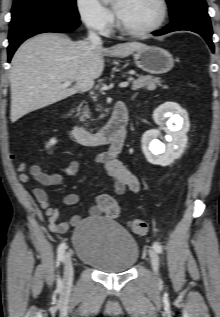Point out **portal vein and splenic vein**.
Returning <instances> with one entry per match:
<instances>
[{
    "label": "portal vein and splenic vein",
    "instance_id": "18ae733b",
    "mask_svg": "<svg viewBox=\"0 0 220 317\" xmlns=\"http://www.w3.org/2000/svg\"><path fill=\"white\" fill-rule=\"evenodd\" d=\"M71 81H65L64 83H63V85H62V87H69L70 85H71ZM129 85V83L128 82H122V83H120L119 84V87L120 88H125V87H127Z\"/></svg>",
    "mask_w": 220,
    "mask_h": 317
}]
</instances>
